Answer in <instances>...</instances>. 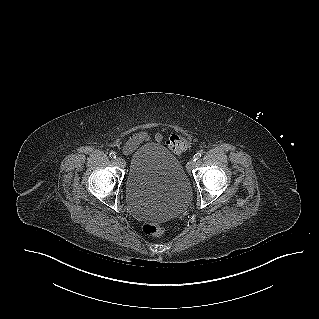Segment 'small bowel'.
Segmentation results:
<instances>
[{"mask_svg":"<svg viewBox=\"0 0 319 319\" xmlns=\"http://www.w3.org/2000/svg\"><path fill=\"white\" fill-rule=\"evenodd\" d=\"M149 134L146 132H139L133 135L123 146V151L125 153L133 152L142 142L149 138ZM156 140H161L162 135L160 133L155 134Z\"/></svg>","mask_w":319,"mask_h":319,"instance_id":"obj_1","label":"small bowel"}]
</instances>
